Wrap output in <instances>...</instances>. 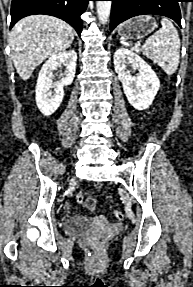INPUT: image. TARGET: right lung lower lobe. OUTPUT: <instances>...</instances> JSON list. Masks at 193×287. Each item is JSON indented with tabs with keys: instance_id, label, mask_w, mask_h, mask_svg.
Returning <instances> with one entry per match:
<instances>
[{
	"instance_id": "right-lung-lower-lobe-1",
	"label": "right lung lower lobe",
	"mask_w": 193,
	"mask_h": 287,
	"mask_svg": "<svg viewBox=\"0 0 193 287\" xmlns=\"http://www.w3.org/2000/svg\"><path fill=\"white\" fill-rule=\"evenodd\" d=\"M90 0H12L10 29L20 19L35 14L52 15L63 19L80 35L83 22L81 14Z\"/></svg>"
}]
</instances>
